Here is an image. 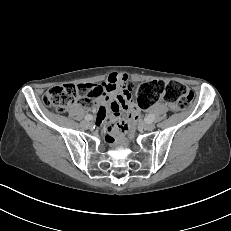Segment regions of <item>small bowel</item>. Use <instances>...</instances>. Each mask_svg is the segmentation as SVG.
Listing matches in <instances>:
<instances>
[{"instance_id": "1", "label": "small bowel", "mask_w": 231, "mask_h": 231, "mask_svg": "<svg viewBox=\"0 0 231 231\" xmlns=\"http://www.w3.org/2000/svg\"><path fill=\"white\" fill-rule=\"evenodd\" d=\"M90 90L89 101L98 99L97 124L103 126L106 119L114 120L121 110L133 111L136 106L126 88L127 77L124 74H111L100 84H83ZM104 105L107 106L104 107Z\"/></svg>"}]
</instances>
